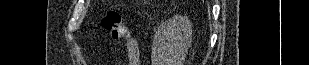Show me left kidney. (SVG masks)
<instances>
[{
  "mask_svg": "<svg viewBox=\"0 0 309 65\" xmlns=\"http://www.w3.org/2000/svg\"><path fill=\"white\" fill-rule=\"evenodd\" d=\"M192 24L183 15H175L160 25L152 44V65H183L191 46Z\"/></svg>",
  "mask_w": 309,
  "mask_h": 65,
  "instance_id": "obj_1",
  "label": "left kidney"
}]
</instances>
